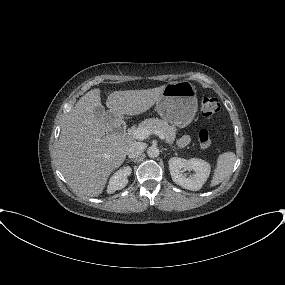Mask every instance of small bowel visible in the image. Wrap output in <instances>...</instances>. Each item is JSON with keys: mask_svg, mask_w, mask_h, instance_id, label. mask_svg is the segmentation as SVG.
Here are the masks:
<instances>
[{"mask_svg": "<svg viewBox=\"0 0 285 285\" xmlns=\"http://www.w3.org/2000/svg\"><path fill=\"white\" fill-rule=\"evenodd\" d=\"M188 142H189V138L187 136H185V137H182L178 141V145L182 147V146H185Z\"/></svg>", "mask_w": 285, "mask_h": 285, "instance_id": "c3829d8e", "label": "small bowel"}]
</instances>
